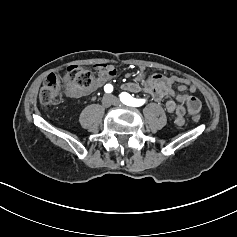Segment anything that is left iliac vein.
<instances>
[{
  "label": "left iliac vein",
  "mask_w": 237,
  "mask_h": 237,
  "mask_svg": "<svg viewBox=\"0 0 237 237\" xmlns=\"http://www.w3.org/2000/svg\"><path fill=\"white\" fill-rule=\"evenodd\" d=\"M112 99H113V105L115 106H120L121 102L119 101V99H117L116 97H114L113 95H111Z\"/></svg>",
  "instance_id": "1"
}]
</instances>
